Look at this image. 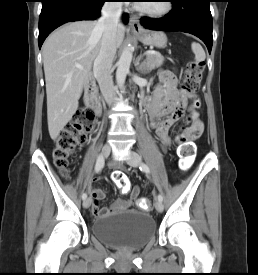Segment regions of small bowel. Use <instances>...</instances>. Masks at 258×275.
Here are the masks:
<instances>
[{"mask_svg":"<svg viewBox=\"0 0 258 275\" xmlns=\"http://www.w3.org/2000/svg\"><path fill=\"white\" fill-rule=\"evenodd\" d=\"M160 84L155 88L153 96L146 98L144 103L147 107L150 125L154 130L160 145L164 151L173 143L170 136L171 129L176 125L188 108L194 111L192 107H188V94L177 89V78L169 70H161L159 72ZM195 120L189 127L184 138L187 141L195 140L203 131V122L194 112ZM139 188L135 186L130 193L129 199H117L112 205L106 208H100L99 203L104 198L105 193L102 188H95L91 191L92 213L96 217L112 214L117 211L130 209L137 201Z\"/></svg>","mask_w":258,"mask_h":275,"instance_id":"c3829d8e","label":"small bowel"}]
</instances>
